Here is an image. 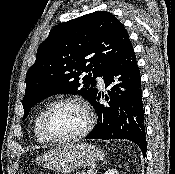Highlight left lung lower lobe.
I'll return each mask as SVG.
<instances>
[{
    "label": "left lung lower lobe",
    "instance_id": "left-lung-lower-lobe-1",
    "mask_svg": "<svg viewBox=\"0 0 175 174\" xmlns=\"http://www.w3.org/2000/svg\"><path fill=\"white\" fill-rule=\"evenodd\" d=\"M107 104L98 102L99 93L90 102L98 114V121L87 139H127L139 146L146 156L147 142L140 71L130 43L117 62L103 75Z\"/></svg>",
    "mask_w": 175,
    "mask_h": 174
}]
</instances>
